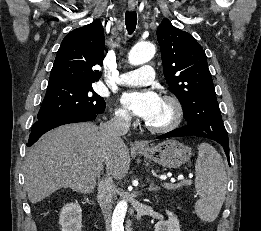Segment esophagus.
I'll use <instances>...</instances> for the list:
<instances>
[{
  "mask_svg": "<svg viewBox=\"0 0 261 231\" xmlns=\"http://www.w3.org/2000/svg\"><path fill=\"white\" fill-rule=\"evenodd\" d=\"M137 6V2L135 0H128V8L129 10L133 11L135 7ZM134 148H144L145 145L140 141H135L133 143Z\"/></svg>",
  "mask_w": 261,
  "mask_h": 231,
  "instance_id": "obj_1",
  "label": "esophagus"
}]
</instances>
